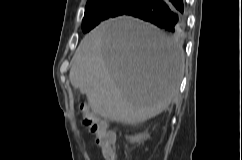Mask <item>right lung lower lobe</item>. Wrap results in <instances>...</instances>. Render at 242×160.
Returning a JSON list of instances; mask_svg holds the SVG:
<instances>
[{
    "mask_svg": "<svg viewBox=\"0 0 242 160\" xmlns=\"http://www.w3.org/2000/svg\"><path fill=\"white\" fill-rule=\"evenodd\" d=\"M159 28L182 35L185 28L183 0H142L125 13Z\"/></svg>",
    "mask_w": 242,
    "mask_h": 160,
    "instance_id": "98d812e1",
    "label": "right lung lower lobe"
}]
</instances>
